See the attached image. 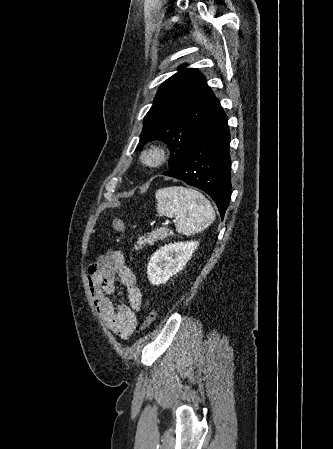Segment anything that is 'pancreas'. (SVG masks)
Here are the masks:
<instances>
[{
	"label": "pancreas",
	"instance_id": "pancreas-1",
	"mask_svg": "<svg viewBox=\"0 0 333 449\" xmlns=\"http://www.w3.org/2000/svg\"><path fill=\"white\" fill-rule=\"evenodd\" d=\"M171 235L172 232L168 228H161L159 230H154L144 238H139L137 241V245H135V249L138 250L144 248L147 245L149 246L154 245V243L157 240L165 239Z\"/></svg>",
	"mask_w": 333,
	"mask_h": 449
}]
</instances>
